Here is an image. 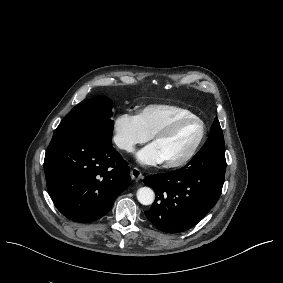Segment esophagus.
Segmentation results:
<instances>
[{"mask_svg":"<svg viewBox=\"0 0 283 283\" xmlns=\"http://www.w3.org/2000/svg\"><path fill=\"white\" fill-rule=\"evenodd\" d=\"M130 174L133 180H140L143 178L142 172L138 168H132Z\"/></svg>","mask_w":283,"mask_h":283,"instance_id":"esophagus-1","label":"esophagus"}]
</instances>
